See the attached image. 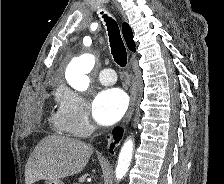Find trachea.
Masks as SVG:
<instances>
[{
    "label": "trachea",
    "mask_w": 224,
    "mask_h": 184,
    "mask_svg": "<svg viewBox=\"0 0 224 184\" xmlns=\"http://www.w3.org/2000/svg\"><path fill=\"white\" fill-rule=\"evenodd\" d=\"M104 21L106 22L111 53L114 61L120 66L125 67L127 64V52L123 40L120 35V30L117 23L110 17L103 15Z\"/></svg>",
    "instance_id": "1"
}]
</instances>
